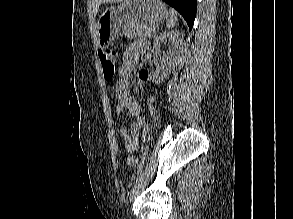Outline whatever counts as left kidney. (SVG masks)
Segmentation results:
<instances>
[{"label":"left kidney","instance_id":"left-kidney-1","mask_svg":"<svg viewBox=\"0 0 293 219\" xmlns=\"http://www.w3.org/2000/svg\"><path fill=\"white\" fill-rule=\"evenodd\" d=\"M165 39L171 40V45L167 54L160 58V65L156 71L152 73L151 80L156 84L167 78L171 67L174 66L183 42V33L179 31H165L156 37L153 42V48L159 52L161 43Z\"/></svg>","mask_w":293,"mask_h":219}]
</instances>
